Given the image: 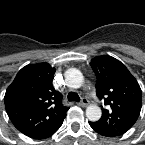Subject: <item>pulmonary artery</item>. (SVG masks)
<instances>
[{"instance_id":"obj_1","label":"pulmonary artery","mask_w":145,"mask_h":145,"mask_svg":"<svg viewBox=\"0 0 145 145\" xmlns=\"http://www.w3.org/2000/svg\"><path fill=\"white\" fill-rule=\"evenodd\" d=\"M92 92H93V90H92ZM96 102H97V103H100V101H99L98 99H96Z\"/></svg>"}]
</instances>
